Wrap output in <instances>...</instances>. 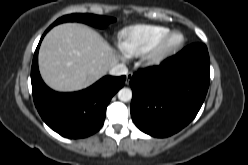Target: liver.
Masks as SVG:
<instances>
[{
    "label": "liver",
    "mask_w": 248,
    "mask_h": 165,
    "mask_svg": "<svg viewBox=\"0 0 248 165\" xmlns=\"http://www.w3.org/2000/svg\"><path fill=\"white\" fill-rule=\"evenodd\" d=\"M116 63L112 47L96 31L79 23L54 27L39 50L40 74L50 88L60 92L89 87Z\"/></svg>",
    "instance_id": "1"
}]
</instances>
